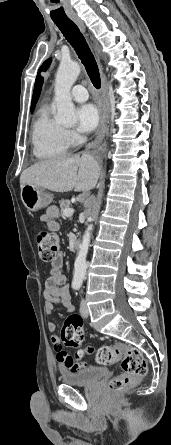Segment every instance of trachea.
Segmentation results:
<instances>
[{"label":"trachea","mask_w":171,"mask_h":445,"mask_svg":"<svg viewBox=\"0 0 171 445\" xmlns=\"http://www.w3.org/2000/svg\"><path fill=\"white\" fill-rule=\"evenodd\" d=\"M54 23L76 51L94 87L99 89L101 79L97 62L77 25L70 19L54 20Z\"/></svg>","instance_id":"3493384b"}]
</instances>
